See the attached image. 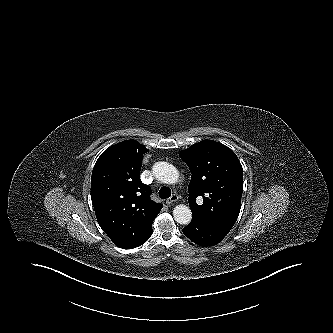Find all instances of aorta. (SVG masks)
<instances>
[{"mask_svg":"<svg viewBox=\"0 0 333 333\" xmlns=\"http://www.w3.org/2000/svg\"><path fill=\"white\" fill-rule=\"evenodd\" d=\"M152 172L157 180L166 184L176 183L179 177L178 170L167 162H156ZM173 217L177 223L186 225L192 219V212L188 206L180 204L174 208Z\"/></svg>","mask_w":333,"mask_h":333,"instance_id":"obj_1","label":"aorta"}]
</instances>
